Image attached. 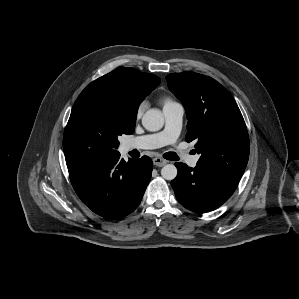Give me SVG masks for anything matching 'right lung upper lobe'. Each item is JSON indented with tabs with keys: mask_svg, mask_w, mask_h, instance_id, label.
Returning a JSON list of instances; mask_svg holds the SVG:
<instances>
[{
	"mask_svg": "<svg viewBox=\"0 0 299 299\" xmlns=\"http://www.w3.org/2000/svg\"><path fill=\"white\" fill-rule=\"evenodd\" d=\"M159 83L156 75L119 68L91 82L85 89L100 90L119 98L124 112L136 118L139 104Z\"/></svg>",
	"mask_w": 299,
	"mask_h": 299,
	"instance_id": "right-lung-upper-lobe-1",
	"label": "right lung upper lobe"
}]
</instances>
